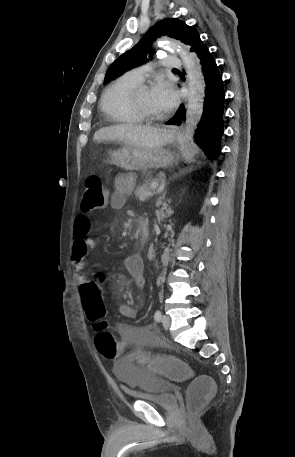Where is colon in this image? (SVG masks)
<instances>
[{"label": "colon", "mask_w": 295, "mask_h": 457, "mask_svg": "<svg viewBox=\"0 0 295 457\" xmlns=\"http://www.w3.org/2000/svg\"><path fill=\"white\" fill-rule=\"evenodd\" d=\"M107 201V193L102 179L93 174L87 177L84 186V196L81 203L83 212H92L103 208ZM106 285V276L96 273L93 280L82 287L83 306L87 318L95 323V344L98 355H104L106 360H125L123 341H114L105 320V307L102 302V286ZM131 360H142L143 352L135 351ZM148 372H163L164 378H171L172 383H183L184 378H193V369H188L187 363L171 357H150L146 360ZM213 374H198L187 390V407L190 413L198 411L214 392Z\"/></svg>", "instance_id": "5ec220e1"}]
</instances>
